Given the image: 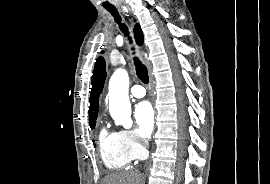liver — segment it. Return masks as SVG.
<instances>
[{
  "label": "liver",
  "instance_id": "1",
  "mask_svg": "<svg viewBox=\"0 0 270 184\" xmlns=\"http://www.w3.org/2000/svg\"><path fill=\"white\" fill-rule=\"evenodd\" d=\"M139 179L136 172L113 173L106 176L102 184H138Z\"/></svg>",
  "mask_w": 270,
  "mask_h": 184
}]
</instances>
